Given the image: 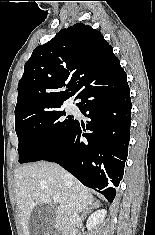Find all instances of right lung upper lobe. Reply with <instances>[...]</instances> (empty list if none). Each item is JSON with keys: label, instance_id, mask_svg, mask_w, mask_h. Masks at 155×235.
<instances>
[{"label": "right lung upper lobe", "instance_id": "cb5924a9", "mask_svg": "<svg viewBox=\"0 0 155 235\" xmlns=\"http://www.w3.org/2000/svg\"><path fill=\"white\" fill-rule=\"evenodd\" d=\"M122 70L103 35L76 23L38 46L18 83L15 118L22 113L59 107L90 86ZM67 87L66 91L60 88Z\"/></svg>", "mask_w": 155, "mask_h": 235}]
</instances>
